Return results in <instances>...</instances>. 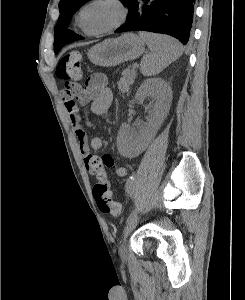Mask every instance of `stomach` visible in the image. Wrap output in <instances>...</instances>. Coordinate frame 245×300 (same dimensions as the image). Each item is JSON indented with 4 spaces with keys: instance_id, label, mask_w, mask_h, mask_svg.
<instances>
[{
    "instance_id": "1",
    "label": "stomach",
    "mask_w": 245,
    "mask_h": 300,
    "mask_svg": "<svg viewBox=\"0 0 245 300\" xmlns=\"http://www.w3.org/2000/svg\"><path fill=\"white\" fill-rule=\"evenodd\" d=\"M144 52V41L133 33L106 39L88 52L89 60L99 66L111 67L133 60Z\"/></svg>"
}]
</instances>
